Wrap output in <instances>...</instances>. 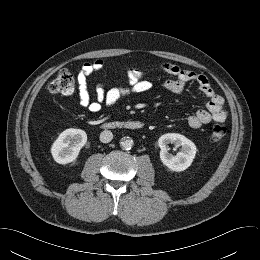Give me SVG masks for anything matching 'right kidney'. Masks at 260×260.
<instances>
[{
	"mask_svg": "<svg viewBox=\"0 0 260 260\" xmlns=\"http://www.w3.org/2000/svg\"><path fill=\"white\" fill-rule=\"evenodd\" d=\"M86 142L87 134L84 130L66 129L54 141L51 147V154L57 163L68 164L76 160Z\"/></svg>",
	"mask_w": 260,
	"mask_h": 260,
	"instance_id": "obj_1",
	"label": "right kidney"
}]
</instances>
